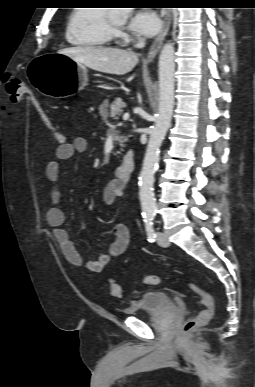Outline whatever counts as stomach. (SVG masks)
I'll return each instance as SVG.
<instances>
[{"mask_svg":"<svg viewBox=\"0 0 255 387\" xmlns=\"http://www.w3.org/2000/svg\"><path fill=\"white\" fill-rule=\"evenodd\" d=\"M55 50L54 46H41L43 55H35L29 61L30 75H26V82H33L35 91H41L49 99H68L69 93L86 85L87 69Z\"/></svg>","mask_w":255,"mask_h":387,"instance_id":"obj_1","label":"stomach"}]
</instances>
